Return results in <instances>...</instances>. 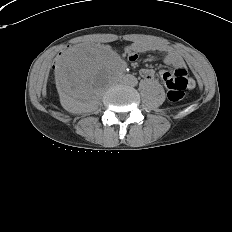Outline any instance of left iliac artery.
I'll return each instance as SVG.
<instances>
[{
	"label": "left iliac artery",
	"mask_w": 232,
	"mask_h": 232,
	"mask_svg": "<svg viewBox=\"0 0 232 232\" xmlns=\"http://www.w3.org/2000/svg\"><path fill=\"white\" fill-rule=\"evenodd\" d=\"M131 84H132V85H136V84H137V81H134V80H133V81L131 82Z\"/></svg>",
	"instance_id": "44dca946"
}]
</instances>
